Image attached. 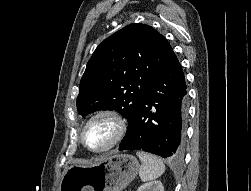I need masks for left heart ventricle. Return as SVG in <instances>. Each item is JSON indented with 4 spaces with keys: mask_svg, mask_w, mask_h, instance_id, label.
I'll return each instance as SVG.
<instances>
[{
    "mask_svg": "<svg viewBox=\"0 0 251 191\" xmlns=\"http://www.w3.org/2000/svg\"><path fill=\"white\" fill-rule=\"evenodd\" d=\"M114 134L113 122L107 117H97L82 132V144L90 151L99 152L111 143Z\"/></svg>",
    "mask_w": 251,
    "mask_h": 191,
    "instance_id": "obj_1",
    "label": "left heart ventricle"
}]
</instances>
